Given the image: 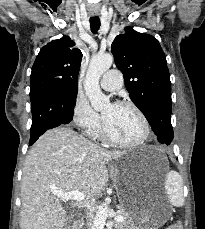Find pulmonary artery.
I'll use <instances>...</instances> for the list:
<instances>
[{"mask_svg":"<svg viewBox=\"0 0 205 229\" xmlns=\"http://www.w3.org/2000/svg\"><path fill=\"white\" fill-rule=\"evenodd\" d=\"M100 85L107 91H116L122 86V73L117 69L108 70L101 78Z\"/></svg>","mask_w":205,"mask_h":229,"instance_id":"e3ab8cb5","label":"pulmonary artery"}]
</instances>
